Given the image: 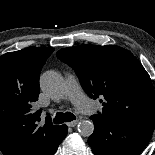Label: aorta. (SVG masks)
Listing matches in <instances>:
<instances>
[{"label": "aorta", "mask_w": 155, "mask_h": 155, "mask_svg": "<svg viewBox=\"0 0 155 155\" xmlns=\"http://www.w3.org/2000/svg\"><path fill=\"white\" fill-rule=\"evenodd\" d=\"M40 85L51 98L59 99L64 96L67 86L63 77L56 71H46L40 79ZM78 131L84 137H89L94 131L93 123L89 120L80 121Z\"/></svg>", "instance_id": "762f6f07"}]
</instances>
